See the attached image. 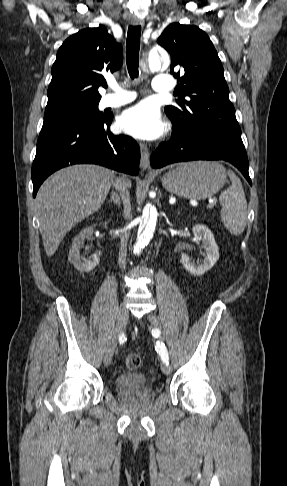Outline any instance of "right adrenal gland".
I'll return each mask as SVG.
<instances>
[{"mask_svg":"<svg viewBox=\"0 0 287 486\" xmlns=\"http://www.w3.org/2000/svg\"><path fill=\"white\" fill-rule=\"evenodd\" d=\"M107 202H108V203H112V202H113V203H114L115 205H117L118 207H120V205H121L120 197H119V195H118L116 192H114V191H112V193H111V197H110V199H109Z\"/></svg>","mask_w":287,"mask_h":486,"instance_id":"2a0ac1e0","label":"right adrenal gland"}]
</instances>
